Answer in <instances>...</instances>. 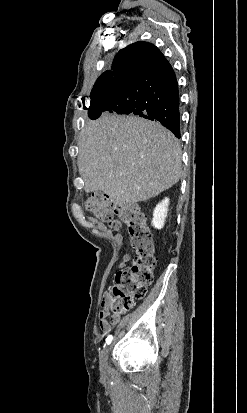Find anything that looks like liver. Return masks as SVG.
Here are the masks:
<instances>
[{"instance_id": "6515ba94", "label": "liver", "mask_w": 247, "mask_h": 413, "mask_svg": "<svg viewBox=\"0 0 247 413\" xmlns=\"http://www.w3.org/2000/svg\"><path fill=\"white\" fill-rule=\"evenodd\" d=\"M78 146L85 192L102 190L116 204L147 200L181 176L179 140L154 120L106 112L84 124Z\"/></svg>"}]
</instances>
